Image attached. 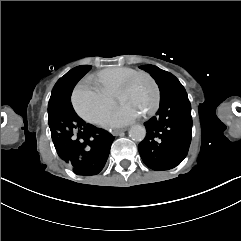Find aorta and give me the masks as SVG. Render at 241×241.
I'll return each mask as SVG.
<instances>
[{"label":"aorta","instance_id":"1","mask_svg":"<svg viewBox=\"0 0 241 241\" xmlns=\"http://www.w3.org/2000/svg\"><path fill=\"white\" fill-rule=\"evenodd\" d=\"M129 137L136 142H141L146 137V129L142 125H133L129 129Z\"/></svg>","mask_w":241,"mask_h":241}]
</instances>
